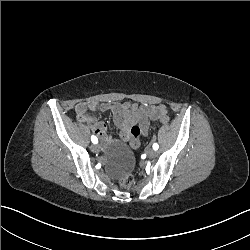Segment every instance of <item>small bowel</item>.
Listing matches in <instances>:
<instances>
[{
	"instance_id": "1",
	"label": "small bowel",
	"mask_w": 250,
	"mask_h": 250,
	"mask_svg": "<svg viewBox=\"0 0 250 250\" xmlns=\"http://www.w3.org/2000/svg\"><path fill=\"white\" fill-rule=\"evenodd\" d=\"M163 105H160V107ZM146 106L124 104H104L97 102H80L76 104L75 110L78 115H88V111H111L113 114V120L117 128L119 129V140L128 141L131 137V129L134 126H138L140 134L146 135L149 131L150 121H157L155 118H151L144 113ZM90 126L94 133L105 143L115 142L114 136L107 132V124L103 121L96 119L90 120Z\"/></svg>"
}]
</instances>
